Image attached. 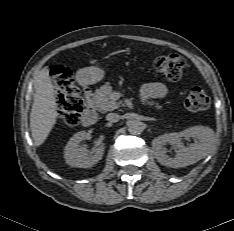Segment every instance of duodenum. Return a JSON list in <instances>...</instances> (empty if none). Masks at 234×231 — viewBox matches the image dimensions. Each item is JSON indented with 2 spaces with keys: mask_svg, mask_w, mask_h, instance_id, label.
Segmentation results:
<instances>
[{
  "mask_svg": "<svg viewBox=\"0 0 234 231\" xmlns=\"http://www.w3.org/2000/svg\"><path fill=\"white\" fill-rule=\"evenodd\" d=\"M84 97L86 100V107L82 113V122L84 125L89 126L93 125L98 118V114L96 108L92 103V92L89 87H84Z\"/></svg>",
  "mask_w": 234,
  "mask_h": 231,
  "instance_id": "duodenum-1",
  "label": "duodenum"
}]
</instances>
